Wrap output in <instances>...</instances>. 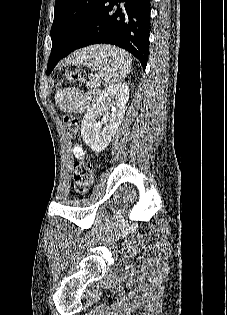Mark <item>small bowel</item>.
<instances>
[{
	"label": "small bowel",
	"mask_w": 227,
	"mask_h": 315,
	"mask_svg": "<svg viewBox=\"0 0 227 315\" xmlns=\"http://www.w3.org/2000/svg\"><path fill=\"white\" fill-rule=\"evenodd\" d=\"M73 155L75 158H81L84 155L82 148L78 145L73 147Z\"/></svg>",
	"instance_id": "small-bowel-1"
}]
</instances>
